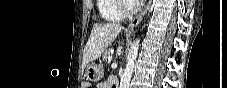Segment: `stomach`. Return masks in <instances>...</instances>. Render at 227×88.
<instances>
[{
	"label": "stomach",
	"mask_w": 227,
	"mask_h": 88,
	"mask_svg": "<svg viewBox=\"0 0 227 88\" xmlns=\"http://www.w3.org/2000/svg\"><path fill=\"white\" fill-rule=\"evenodd\" d=\"M104 70L101 64L91 63L86 68V77L89 81L97 82L102 79Z\"/></svg>",
	"instance_id": "1"
}]
</instances>
